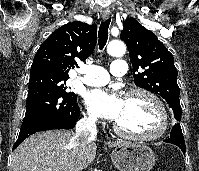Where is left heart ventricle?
<instances>
[{
  "label": "left heart ventricle",
  "instance_id": "1",
  "mask_svg": "<svg viewBox=\"0 0 199 171\" xmlns=\"http://www.w3.org/2000/svg\"><path fill=\"white\" fill-rule=\"evenodd\" d=\"M123 130L137 134L155 133L160 118L152 101L141 94L124 98L123 107L115 121Z\"/></svg>",
  "mask_w": 199,
  "mask_h": 171
}]
</instances>
